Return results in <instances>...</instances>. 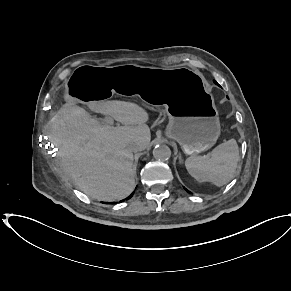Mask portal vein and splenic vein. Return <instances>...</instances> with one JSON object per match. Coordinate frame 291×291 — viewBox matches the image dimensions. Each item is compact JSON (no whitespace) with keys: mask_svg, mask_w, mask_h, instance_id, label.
Wrapping results in <instances>:
<instances>
[{"mask_svg":"<svg viewBox=\"0 0 291 291\" xmlns=\"http://www.w3.org/2000/svg\"><path fill=\"white\" fill-rule=\"evenodd\" d=\"M106 122H107L108 124H112V123H113V119H112L111 117H107V118H106Z\"/></svg>","mask_w":291,"mask_h":291,"instance_id":"18ae733b","label":"portal vein and splenic vein"}]
</instances>
